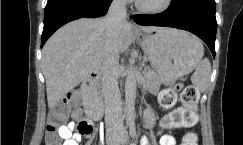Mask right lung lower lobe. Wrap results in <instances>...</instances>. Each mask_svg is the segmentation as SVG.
<instances>
[{
	"label": "right lung lower lobe",
	"instance_id": "right-lung-lower-lobe-1",
	"mask_svg": "<svg viewBox=\"0 0 243 145\" xmlns=\"http://www.w3.org/2000/svg\"><path fill=\"white\" fill-rule=\"evenodd\" d=\"M112 0H48L44 12L41 48L62 25L79 18H96L107 13Z\"/></svg>",
	"mask_w": 243,
	"mask_h": 145
}]
</instances>
